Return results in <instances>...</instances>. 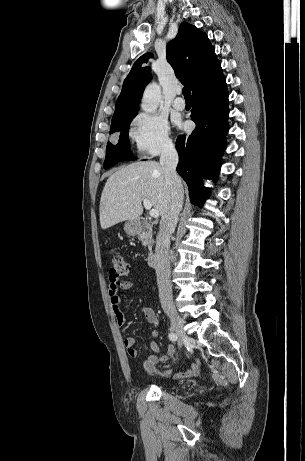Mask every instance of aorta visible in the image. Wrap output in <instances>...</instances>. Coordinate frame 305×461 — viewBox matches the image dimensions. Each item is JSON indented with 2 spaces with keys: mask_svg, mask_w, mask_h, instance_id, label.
Wrapping results in <instances>:
<instances>
[{
  "mask_svg": "<svg viewBox=\"0 0 305 461\" xmlns=\"http://www.w3.org/2000/svg\"><path fill=\"white\" fill-rule=\"evenodd\" d=\"M161 98L160 87L156 83H151L144 91L141 108L146 113H154L159 105Z\"/></svg>",
  "mask_w": 305,
  "mask_h": 461,
  "instance_id": "1",
  "label": "aorta"
}]
</instances>
